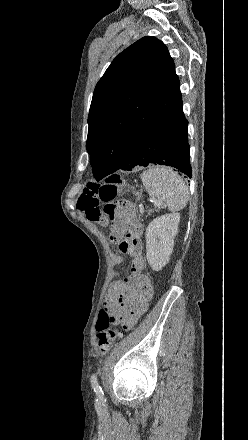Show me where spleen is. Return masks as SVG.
Here are the masks:
<instances>
[{
    "label": "spleen",
    "mask_w": 248,
    "mask_h": 440,
    "mask_svg": "<svg viewBox=\"0 0 248 440\" xmlns=\"http://www.w3.org/2000/svg\"><path fill=\"white\" fill-rule=\"evenodd\" d=\"M148 194L157 202H165L169 211L183 209L189 198L188 187L183 179L166 167H152L140 174Z\"/></svg>",
    "instance_id": "spleen-1"
}]
</instances>
